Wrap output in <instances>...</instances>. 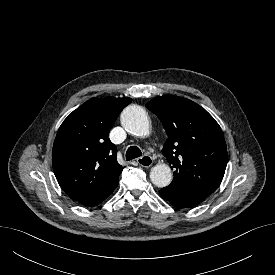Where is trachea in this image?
<instances>
[{
    "mask_svg": "<svg viewBox=\"0 0 275 275\" xmlns=\"http://www.w3.org/2000/svg\"><path fill=\"white\" fill-rule=\"evenodd\" d=\"M141 155L142 152L137 146H130L126 151V160L130 161L132 159L140 157Z\"/></svg>",
    "mask_w": 275,
    "mask_h": 275,
    "instance_id": "obj_1",
    "label": "trachea"
}]
</instances>
